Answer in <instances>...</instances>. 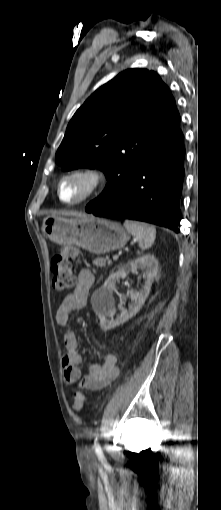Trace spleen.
<instances>
[{
  "label": "spleen",
  "mask_w": 221,
  "mask_h": 510,
  "mask_svg": "<svg viewBox=\"0 0 221 510\" xmlns=\"http://www.w3.org/2000/svg\"><path fill=\"white\" fill-rule=\"evenodd\" d=\"M124 227L138 240L139 247L142 250L149 249L153 245L156 237V229L153 225L125 220Z\"/></svg>",
  "instance_id": "obj_1"
}]
</instances>
